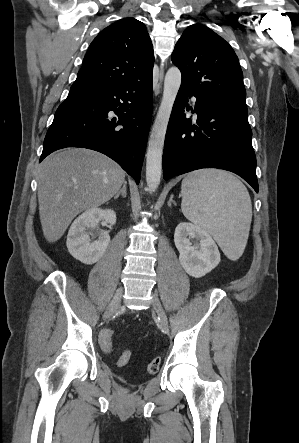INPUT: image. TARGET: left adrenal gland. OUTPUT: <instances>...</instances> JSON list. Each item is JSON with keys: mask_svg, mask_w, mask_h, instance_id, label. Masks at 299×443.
Returning <instances> with one entry per match:
<instances>
[{"mask_svg": "<svg viewBox=\"0 0 299 443\" xmlns=\"http://www.w3.org/2000/svg\"><path fill=\"white\" fill-rule=\"evenodd\" d=\"M171 204L176 205L175 201L173 200V195H171L169 201H168V206L171 207Z\"/></svg>", "mask_w": 299, "mask_h": 443, "instance_id": "left-adrenal-gland-1", "label": "left adrenal gland"}]
</instances>
